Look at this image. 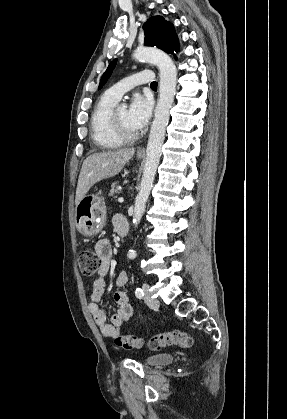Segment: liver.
I'll return each mask as SVG.
<instances>
[{"label":"liver","mask_w":287,"mask_h":419,"mask_svg":"<svg viewBox=\"0 0 287 419\" xmlns=\"http://www.w3.org/2000/svg\"><path fill=\"white\" fill-rule=\"evenodd\" d=\"M134 153V148H122L89 155L84 160L80 171L75 205H78L93 185L119 174Z\"/></svg>","instance_id":"obj_1"}]
</instances>
